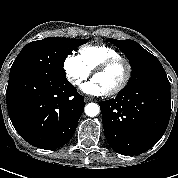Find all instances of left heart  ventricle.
<instances>
[{
  "mask_svg": "<svg viewBox=\"0 0 178 178\" xmlns=\"http://www.w3.org/2000/svg\"><path fill=\"white\" fill-rule=\"evenodd\" d=\"M125 73V64L119 62L111 66L105 72L96 75L93 79L104 88L105 92H108L116 88L123 81Z\"/></svg>",
  "mask_w": 178,
  "mask_h": 178,
  "instance_id": "1",
  "label": "left heart ventricle"
}]
</instances>
